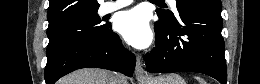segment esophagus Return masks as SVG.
<instances>
[{"mask_svg":"<svg viewBox=\"0 0 260 84\" xmlns=\"http://www.w3.org/2000/svg\"><path fill=\"white\" fill-rule=\"evenodd\" d=\"M135 76L138 82H143L149 79V75L143 67L140 55H137L136 58Z\"/></svg>","mask_w":260,"mask_h":84,"instance_id":"esophagus-1","label":"esophagus"}]
</instances>
